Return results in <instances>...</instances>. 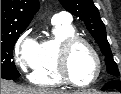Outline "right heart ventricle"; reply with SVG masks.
I'll return each mask as SVG.
<instances>
[{"instance_id":"1","label":"right heart ventricle","mask_w":121,"mask_h":94,"mask_svg":"<svg viewBox=\"0 0 121 94\" xmlns=\"http://www.w3.org/2000/svg\"><path fill=\"white\" fill-rule=\"evenodd\" d=\"M76 31L70 22L53 21L52 37L37 45L30 81L42 87H61L65 83L57 72V51L60 42Z\"/></svg>"}]
</instances>
